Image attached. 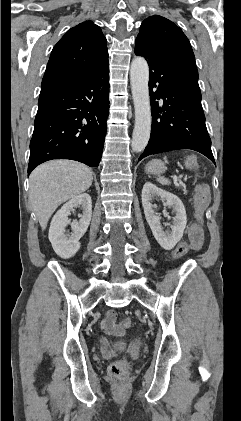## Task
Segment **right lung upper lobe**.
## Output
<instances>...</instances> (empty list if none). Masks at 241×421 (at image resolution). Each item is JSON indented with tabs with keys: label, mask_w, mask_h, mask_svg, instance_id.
I'll list each match as a JSON object with an SVG mask.
<instances>
[{
	"label": "right lung upper lobe",
	"mask_w": 241,
	"mask_h": 421,
	"mask_svg": "<svg viewBox=\"0 0 241 421\" xmlns=\"http://www.w3.org/2000/svg\"><path fill=\"white\" fill-rule=\"evenodd\" d=\"M106 43L100 27L92 21L68 30L51 52L42 88L88 76L108 64Z\"/></svg>",
	"instance_id": "obj_1"
}]
</instances>
